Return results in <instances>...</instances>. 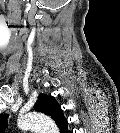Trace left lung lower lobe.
<instances>
[{
	"instance_id": "left-lung-lower-lobe-1",
	"label": "left lung lower lobe",
	"mask_w": 120,
	"mask_h": 133,
	"mask_svg": "<svg viewBox=\"0 0 120 133\" xmlns=\"http://www.w3.org/2000/svg\"><path fill=\"white\" fill-rule=\"evenodd\" d=\"M66 126H67V125H66ZM66 126H60V127H63V128H64V127H66Z\"/></svg>"
}]
</instances>
